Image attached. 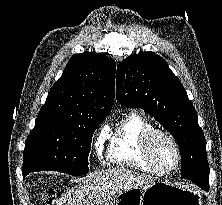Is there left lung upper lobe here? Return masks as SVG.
<instances>
[{
    "instance_id": "left-lung-upper-lobe-1",
    "label": "left lung upper lobe",
    "mask_w": 222,
    "mask_h": 205,
    "mask_svg": "<svg viewBox=\"0 0 222 205\" xmlns=\"http://www.w3.org/2000/svg\"><path fill=\"white\" fill-rule=\"evenodd\" d=\"M116 89L122 106L144 109L173 135L181 154L198 157L202 168L195 177L209 183L206 141L196 111L166 61L153 52L131 54L117 67Z\"/></svg>"
}]
</instances>
